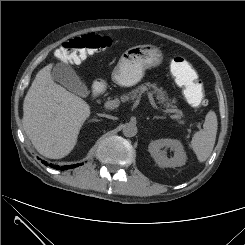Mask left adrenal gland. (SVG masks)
Masks as SVG:
<instances>
[{"mask_svg":"<svg viewBox=\"0 0 245 245\" xmlns=\"http://www.w3.org/2000/svg\"><path fill=\"white\" fill-rule=\"evenodd\" d=\"M154 118H156V119H162L163 117H161V116H154Z\"/></svg>","mask_w":245,"mask_h":245,"instance_id":"a2214340","label":"left adrenal gland"}]
</instances>
